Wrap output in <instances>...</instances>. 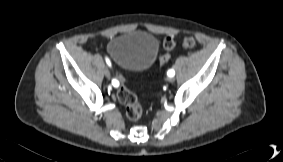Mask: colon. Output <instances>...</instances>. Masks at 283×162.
Instances as JSON below:
<instances>
[{
	"instance_id": "1",
	"label": "colon",
	"mask_w": 283,
	"mask_h": 162,
	"mask_svg": "<svg viewBox=\"0 0 283 162\" xmlns=\"http://www.w3.org/2000/svg\"><path fill=\"white\" fill-rule=\"evenodd\" d=\"M196 45V41L193 37H185L182 40L181 46L184 49H191ZM176 47L175 41L171 37H166L163 41L164 52L160 55L159 62L162 67L166 66L170 61L169 52ZM117 81L119 85L117 87L118 101L124 105L126 116L130 121H137L142 115V107L138 97L129 90L125 79L118 75Z\"/></svg>"
}]
</instances>
